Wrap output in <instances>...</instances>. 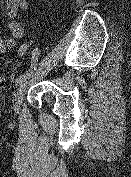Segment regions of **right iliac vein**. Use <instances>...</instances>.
Listing matches in <instances>:
<instances>
[{
	"label": "right iliac vein",
	"instance_id": "right-iliac-vein-1",
	"mask_svg": "<svg viewBox=\"0 0 131 177\" xmlns=\"http://www.w3.org/2000/svg\"><path fill=\"white\" fill-rule=\"evenodd\" d=\"M28 85H29V81L26 80L23 83H21V85L19 86V88H18V90H17V92L15 94V97H14V100H15L14 108H15V110H17L19 108V105L22 102V99H23V97L25 95V92H26V90L28 88Z\"/></svg>",
	"mask_w": 131,
	"mask_h": 177
}]
</instances>
